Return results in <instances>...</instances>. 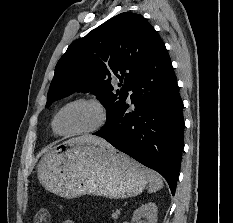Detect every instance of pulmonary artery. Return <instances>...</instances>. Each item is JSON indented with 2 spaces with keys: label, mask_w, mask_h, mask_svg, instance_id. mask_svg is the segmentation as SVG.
<instances>
[{
  "label": "pulmonary artery",
  "mask_w": 233,
  "mask_h": 223,
  "mask_svg": "<svg viewBox=\"0 0 233 223\" xmlns=\"http://www.w3.org/2000/svg\"><path fill=\"white\" fill-rule=\"evenodd\" d=\"M132 93H133V91H132V90H130V91H129V95H132Z\"/></svg>",
  "instance_id": "1"
}]
</instances>
